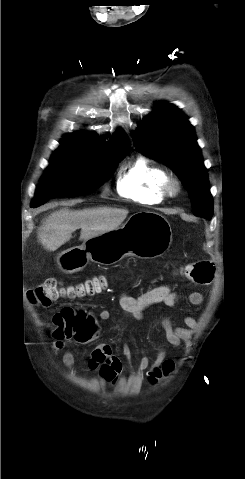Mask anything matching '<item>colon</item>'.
Listing matches in <instances>:
<instances>
[{
  "mask_svg": "<svg viewBox=\"0 0 245 479\" xmlns=\"http://www.w3.org/2000/svg\"><path fill=\"white\" fill-rule=\"evenodd\" d=\"M215 267L212 262L201 260L187 264L183 268V274L198 284H209L214 277ZM104 286L103 277H93L83 284L63 288L59 279L50 278L41 284L31 288L27 292L28 301L39 306H48L53 301L62 297H81L92 295L102 290ZM90 315L83 309L64 308L53 316V323L56 326L54 337L57 339H69L82 335ZM174 369V362L166 360L160 371L149 376L151 383L158 382L161 378L168 376Z\"/></svg>",
  "mask_w": 245,
  "mask_h": 479,
  "instance_id": "1",
  "label": "colon"
}]
</instances>
